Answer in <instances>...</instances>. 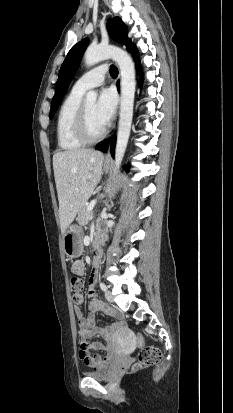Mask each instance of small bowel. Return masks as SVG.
<instances>
[{"instance_id":"small-bowel-1","label":"small bowel","mask_w":233,"mask_h":413,"mask_svg":"<svg viewBox=\"0 0 233 413\" xmlns=\"http://www.w3.org/2000/svg\"><path fill=\"white\" fill-rule=\"evenodd\" d=\"M73 262L74 264L71 266L72 275L83 276L85 273L84 257L82 255H75ZM88 296L90 302L88 305V315L85 316L80 309V305L84 302L83 294L80 292L73 294V303L75 305V314L79 327V358L87 366L100 369L106 367L111 360L120 353L123 347L119 337L122 328V317L119 312L97 297L94 279H91ZM99 312L115 318L116 322L109 326L96 328L95 320ZM93 336H100L104 338V341L89 343L88 339ZM91 350L103 351L105 355L104 357L94 355L91 353Z\"/></svg>"}]
</instances>
